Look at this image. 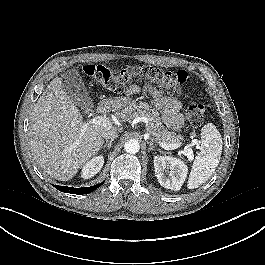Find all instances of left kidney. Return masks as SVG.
<instances>
[{
  "instance_id": "5707ae66",
  "label": "left kidney",
  "mask_w": 265,
  "mask_h": 265,
  "mask_svg": "<svg viewBox=\"0 0 265 265\" xmlns=\"http://www.w3.org/2000/svg\"><path fill=\"white\" fill-rule=\"evenodd\" d=\"M154 169L160 185L174 191L181 189L188 172L182 160L171 156H155ZM166 171H169V176L165 175Z\"/></svg>"
}]
</instances>
